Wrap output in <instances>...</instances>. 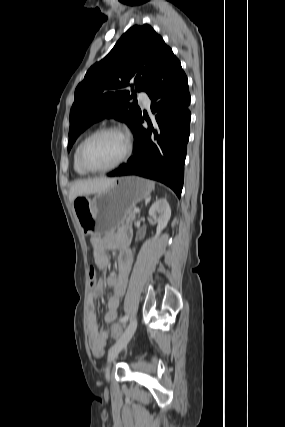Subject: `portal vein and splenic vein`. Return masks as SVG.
I'll list each match as a JSON object with an SVG mask.
<instances>
[{"mask_svg": "<svg viewBox=\"0 0 285 427\" xmlns=\"http://www.w3.org/2000/svg\"><path fill=\"white\" fill-rule=\"evenodd\" d=\"M134 211H135L136 213H139V212H140V211H139V209H135Z\"/></svg>", "mask_w": 285, "mask_h": 427, "instance_id": "portal-vein-and-splenic-vein-1", "label": "portal vein and splenic vein"}]
</instances>
